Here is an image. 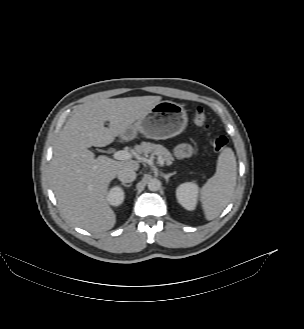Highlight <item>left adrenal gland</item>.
<instances>
[{
  "label": "left adrenal gland",
  "mask_w": 304,
  "mask_h": 329,
  "mask_svg": "<svg viewBox=\"0 0 304 329\" xmlns=\"http://www.w3.org/2000/svg\"><path fill=\"white\" fill-rule=\"evenodd\" d=\"M175 174H176V172L169 173V174H163V177H164V179L166 180V182H168V181H169V178H170L171 176L175 175Z\"/></svg>",
  "instance_id": "obj_1"
}]
</instances>
